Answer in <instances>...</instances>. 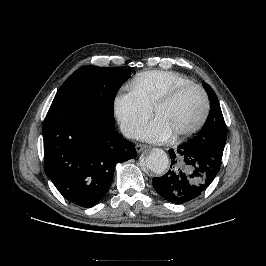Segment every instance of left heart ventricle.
Masks as SVG:
<instances>
[{"mask_svg": "<svg viewBox=\"0 0 266 266\" xmlns=\"http://www.w3.org/2000/svg\"><path fill=\"white\" fill-rule=\"evenodd\" d=\"M203 108L202 94L196 89H190L180 94L171 104L158 110L154 117L175 134L193 126L200 118Z\"/></svg>", "mask_w": 266, "mask_h": 266, "instance_id": "left-heart-ventricle-1", "label": "left heart ventricle"}]
</instances>
